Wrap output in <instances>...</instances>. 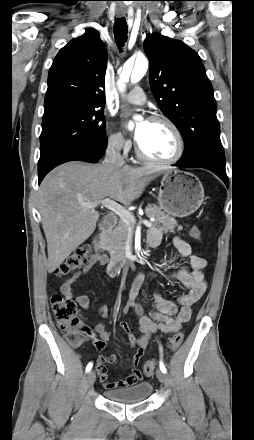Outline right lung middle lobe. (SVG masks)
<instances>
[{
	"label": "right lung middle lobe",
	"instance_id": "dd1d6c3e",
	"mask_svg": "<svg viewBox=\"0 0 254 440\" xmlns=\"http://www.w3.org/2000/svg\"><path fill=\"white\" fill-rule=\"evenodd\" d=\"M97 108L74 102L44 107L38 173L69 153L104 144V115Z\"/></svg>",
	"mask_w": 254,
	"mask_h": 440
}]
</instances>
